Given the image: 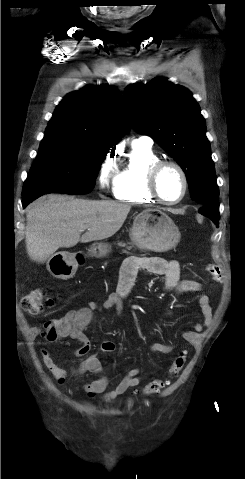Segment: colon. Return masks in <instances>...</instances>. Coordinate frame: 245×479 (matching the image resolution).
<instances>
[{
	"instance_id": "obj_1",
	"label": "colon",
	"mask_w": 245,
	"mask_h": 479,
	"mask_svg": "<svg viewBox=\"0 0 245 479\" xmlns=\"http://www.w3.org/2000/svg\"><path fill=\"white\" fill-rule=\"evenodd\" d=\"M207 272L213 277L219 276V267L214 264L207 265ZM53 300L47 296L43 289H34L25 295L21 301L22 309L29 314H38L45 307L52 305ZM65 324L56 320L45 323L44 337L47 340H55L65 335ZM187 354L185 351L179 352L173 359L168 369V373L163 378H158L147 383L141 390L144 395H155L168 387L173 378H176L186 364Z\"/></svg>"
}]
</instances>
